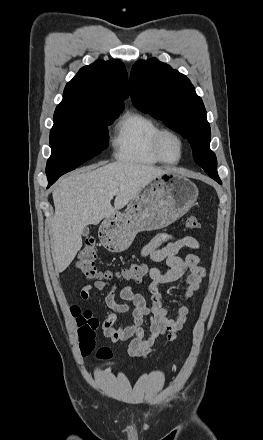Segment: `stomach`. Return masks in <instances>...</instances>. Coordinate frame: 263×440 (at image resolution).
Returning a JSON list of instances; mask_svg holds the SVG:
<instances>
[{"label": "stomach", "instance_id": "obj_1", "mask_svg": "<svg viewBox=\"0 0 263 440\" xmlns=\"http://www.w3.org/2000/svg\"><path fill=\"white\" fill-rule=\"evenodd\" d=\"M198 194L196 185L182 175L167 172L158 176L130 201L124 212L103 220L99 228L103 244L111 252L125 251L138 232L162 229L186 214Z\"/></svg>", "mask_w": 263, "mask_h": 440}]
</instances>
